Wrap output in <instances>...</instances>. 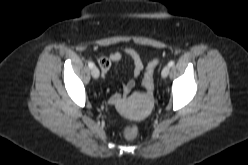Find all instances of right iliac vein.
Segmentation results:
<instances>
[{"label": "right iliac vein", "instance_id": "obj_1", "mask_svg": "<svg viewBox=\"0 0 248 165\" xmlns=\"http://www.w3.org/2000/svg\"><path fill=\"white\" fill-rule=\"evenodd\" d=\"M92 77L97 79L100 75L99 69L97 67H93L91 70Z\"/></svg>", "mask_w": 248, "mask_h": 165}]
</instances>
